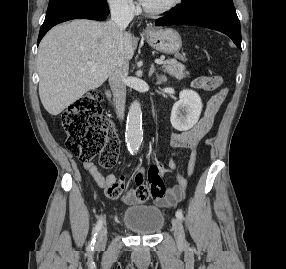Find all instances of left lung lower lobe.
<instances>
[{
  "instance_id": "left-lung-lower-lobe-1",
  "label": "left lung lower lobe",
  "mask_w": 286,
  "mask_h": 269,
  "mask_svg": "<svg viewBox=\"0 0 286 269\" xmlns=\"http://www.w3.org/2000/svg\"><path fill=\"white\" fill-rule=\"evenodd\" d=\"M158 19L157 26L194 25L228 35L241 50V28L234 6H203L188 11L171 10Z\"/></svg>"
}]
</instances>
